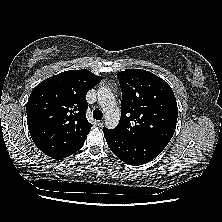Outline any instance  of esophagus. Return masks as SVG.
Wrapping results in <instances>:
<instances>
[{
    "label": "esophagus",
    "mask_w": 222,
    "mask_h": 222,
    "mask_svg": "<svg viewBox=\"0 0 222 222\" xmlns=\"http://www.w3.org/2000/svg\"><path fill=\"white\" fill-rule=\"evenodd\" d=\"M103 124H104V121H103V120L98 121V125H99V126H103Z\"/></svg>",
    "instance_id": "esophagus-1"
}]
</instances>
